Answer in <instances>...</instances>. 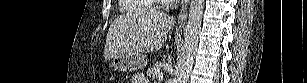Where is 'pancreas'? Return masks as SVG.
<instances>
[{
    "mask_svg": "<svg viewBox=\"0 0 307 83\" xmlns=\"http://www.w3.org/2000/svg\"><path fill=\"white\" fill-rule=\"evenodd\" d=\"M158 74H161V66L160 65L154 66V67L148 69V71H147V76L148 77L154 78Z\"/></svg>",
    "mask_w": 307,
    "mask_h": 83,
    "instance_id": "obj_1",
    "label": "pancreas"
}]
</instances>
